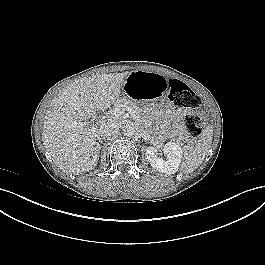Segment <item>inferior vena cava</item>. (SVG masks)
Instances as JSON below:
<instances>
[{
    "mask_svg": "<svg viewBox=\"0 0 265 265\" xmlns=\"http://www.w3.org/2000/svg\"><path fill=\"white\" fill-rule=\"evenodd\" d=\"M118 132V126L114 122H107L101 125L99 128L100 136L110 137Z\"/></svg>",
    "mask_w": 265,
    "mask_h": 265,
    "instance_id": "inferior-vena-cava-1",
    "label": "inferior vena cava"
}]
</instances>
